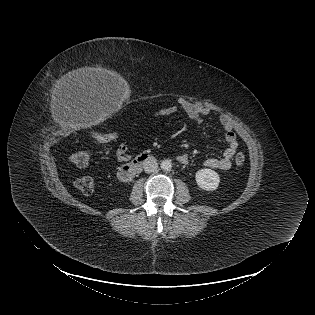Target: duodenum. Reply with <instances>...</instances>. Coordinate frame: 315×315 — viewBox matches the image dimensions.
Segmentation results:
<instances>
[{
    "mask_svg": "<svg viewBox=\"0 0 315 315\" xmlns=\"http://www.w3.org/2000/svg\"><path fill=\"white\" fill-rule=\"evenodd\" d=\"M153 161V157L148 154H142L132 161L124 164L118 171V177L122 182H130L137 175L145 164Z\"/></svg>",
    "mask_w": 315,
    "mask_h": 315,
    "instance_id": "1",
    "label": "duodenum"
}]
</instances>
